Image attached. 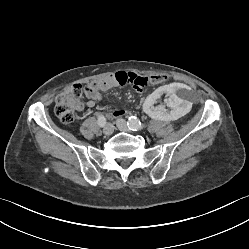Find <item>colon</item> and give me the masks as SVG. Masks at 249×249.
<instances>
[{"label": "colon", "mask_w": 249, "mask_h": 249, "mask_svg": "<svg viewBox=\"0 0 249 249\" xmlns=\"http://www.w3.org/2000/svg\"><path fill=\"white\" fill-rule=\"evenodd\" d=\"M172 80L173 77L171 75L153 74L147 75L146 77L135 75L130 78L128 84L137 89L138 94H141L142 89L148 83H164L171 82ZM84 92L85 87L80 84H75L57 96L54 112L61 122L69 124L74 121L75 108L79 104Z\"/></svg>", "instance_id": "1"}]
</instances>
